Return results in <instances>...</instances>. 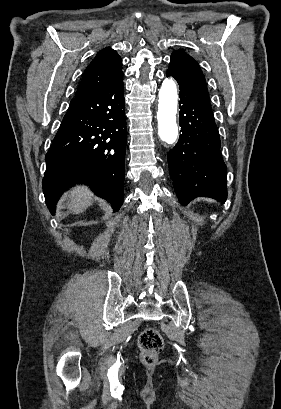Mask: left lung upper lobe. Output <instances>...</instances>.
Instances as JSON below:
<instances>
[{
  "mask_svg": "<svg viewBox=\"0 0 281 409\" xmlns=\"http://www.w3.org/2000/svg\"><path fill=\"white\" fill-rule=\"evenodd\" d=\"M181 84H184L204 98L209 99L205 77L192 57L181 50L174 51L171 55L169 70L167 71Z\"/></svg>",
  "mask_w": 281,
  "mask_h": 409,
  "instance_id": "obj_1",
  "label": "left lung upper lobe"
}]
</instances>
